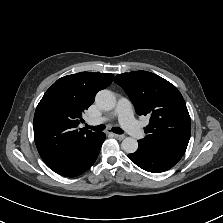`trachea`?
Listing matches in <instances>:
<instances>
[{
    "instance_id": "obj_1",
    "label": "trachea",
    "mask_w": 223,
    "mask_h": 223,
    "mask_svg": "<svg viewBox=\"0 0 223 223\" xmlns=\"http://www.w3.org/2000/svg\"><path fill=\"white\" fill-rule=\"evenodd\" d=\"M86 128L92 129V130L97 131V132H101L105 129V126L104 125H97V126L86 125ZM111 131L116 133V134H119V135L124 133V131L119 127H114V128L111 129Z\"/></svg>"
}]
</instances>
